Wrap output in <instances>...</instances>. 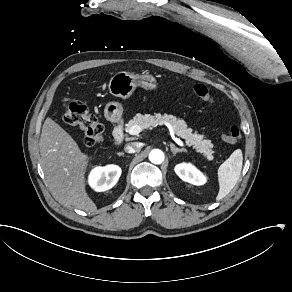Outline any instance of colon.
Segmentation results:
<instances>
[{
	"label": "colon",
	"instance_id": "colon-1",
	"mask_svg": "<svg viewBox=\"0 0 292 292\" xmlns=\"http://www.w3.org/2000/svg\"><path fill=\"white\" fill-rule=\"evenodd\" d=\"M193 92L199 99L206 103H212L214 101L210 89L203 84L194 85ZM63 118L68 124L75 125L84 132L87 146H95L103 141V125L91 114L82 101L72 100L65 103ZM240 137L241 132L238 126L235 125L230 126L224 134L225 141L229 143L239 141Z\"/></svg>",
	"mask_w": 292,
	"mask_h": 292
}]
</instances>
